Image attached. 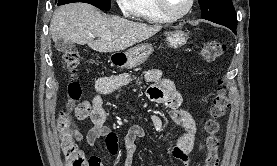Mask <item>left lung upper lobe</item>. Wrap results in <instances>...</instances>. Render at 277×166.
Listing matches in <instances>:
<instances>
[{
	"instance_id": "left-lung-upper-lobe-1",
	"label": "left lung upper lobe",
	"mask_w": 277,
	"mask_h": 166,
	"mask_svg": "<svg viewBox=\"0 0 277 166\" xmlns=\"http://www.w3.org/2000/svg\"><path fill=\"white\" fill-rule=\"evenodd\" d=\"M202 18L224 25L236 33L237 20L231 0H199Z\"/></svg>"
}]
</instances>
